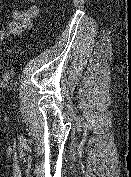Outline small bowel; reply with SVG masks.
Returning a JSON list of instances; mask_svg holds the SVG:
<instances>
[{"instance_id":"obj_1","label":"small bowel","mask_w":131,"mask_h":177,"mask_svg":"<svg viewBox=\"0 0 131 177\" xmlns=\"http://www.w3.org/2000/svg\"><path fill=\"white\" fill-rule=\"evenodd\" d=\"M30 6L25 10H15L12 13V20L5 28H0V41L17 37L26 29L31 28L33 21L39 15V8L35 0H29Z\"/></svg>"}]
</instances>
